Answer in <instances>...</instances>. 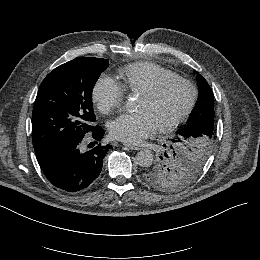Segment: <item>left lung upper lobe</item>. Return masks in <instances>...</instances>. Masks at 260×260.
Returning a JSON list of instances; mask_svg holds the SVG:
<instances>
[{"instance_id":"5c2ea615","label":"left lung upper lobe","mask_w":260,"mask_h":260,"mask_svg":"<svg viewBox=\"0 0 260 260\" xmlns=\"http://www.w3.org/2000/svg\"><path fill=\"white\" fill-rule=\"evenodd\" d=\"M197 82V104L203 102L214 105L213 93L207 81L198 74ZM190 123L191 116L187 124L169 139L167 145H163L165 148L162 149L161 156L142 171L144 181L150 186L163 191L179 190L190 184L205 166L213 149L215 132L192 134L189 132Z\"/></svg>"}]
</instances>
